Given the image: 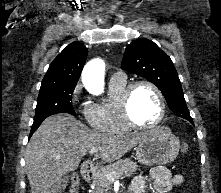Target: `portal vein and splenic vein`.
<instances>
[{
	"label": "portal vein and splenic vein",
	"instance_id": "obj_1",
	"mask_svg": "<svg viewBox=\"0 0 221 193\" xmlns=\"http://www.w3.org/2000/svg\"><path fill=\"white\" fill-rule=\"evenodd\" d=\"M96 152H97V149H96V148H92V149L89 151L90 155L95 154ZM122 173H123V172H121V174H122ZM105 176H106L110 181H115V178H114V176H113L112 174L106 173Z\"/></svg>",
	"mask_w": 221,
	"mask_h": 193
}]
</instances>
